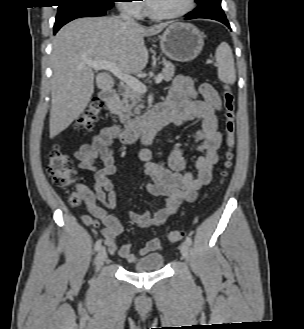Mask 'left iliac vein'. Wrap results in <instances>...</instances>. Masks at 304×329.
<instances>
[{
	"mask_svg": "<svg viewBox=\"0 0 304 329\" xmlns=\"http://www.w3.org/2000/svg\"><path fill=\"white\" fill-rule=\"evenodd\" d=\"M180 252L186 261L189 259V245L186 242H182L180 245Z\"/></svg>",
	"mask_w": 304,
	"mask_h": 329,
	"instance_id": "left-iliac-vein-1",
	"label": "left iliac vein"
}]
</instances>
